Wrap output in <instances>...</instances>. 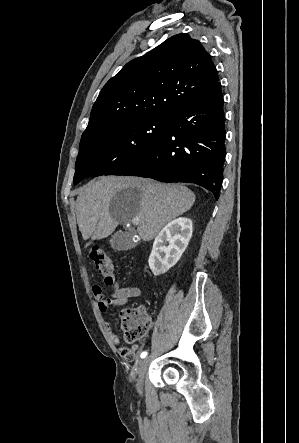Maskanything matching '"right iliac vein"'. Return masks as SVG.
I'll use <instances>...</instances> for the list:
<instances>
[{
    "mask_svg": "<svg viewBox=\"0 0 299 443\" xmlns=\"http://www.w3.org/2000/svg\"><path fill=\"white\" fill-rule=\"evenodd\" d=\"M148 364H149V360L147 358L143 359V360H141L139 362V366H138V380H137V384H136L137 390L139 392L142 391L143 377H144V375L146 373Z\"/></svg>",
    "mask_w": 299,
    "mask_h": 443,
    "instance_id": "right-iliac-vein-1",
    "label": "right iliac vein"
}]
</instances>
